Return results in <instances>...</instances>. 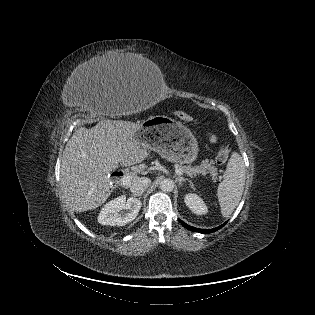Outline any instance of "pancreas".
<instances>
[{
    "mask_svg": "<svg viewBox=\"0 0 315 315\" xmlns=\"http://www.w3.org/2000/svg\"><path fill=\"white\" fill-rule=\"evenodd\" d=\"M177 168L181 169L184 174L188 176H194L196 174H210L213 180L217 178V168L213 166V161L206 159L198 166H183L182 164H177Z\"/></svg>",
    "mask_w": 315,
    "mask_h": 315,
    "instance_id": "pancreas-1",
    "label": "pancreas"
}]
</instances>
